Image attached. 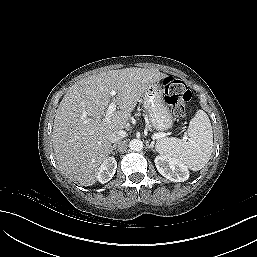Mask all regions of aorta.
<instances>
[{
  "label": "aorta",
  "instance_id": "762f6f07",
  "mask_svg": "<svg viewBox=\"0 0 257 257\" xmlns=\"http://www.w3.org/2000/svg\"><path fill=\"white\" fill-rule=\"evenodd\" d=\"M143 142L140 139H133L129 143V147L133 151H141L143 149Z\"/></svg>",
  "mask_w": 257,
  "mask_h": 257
}]
</instances>
